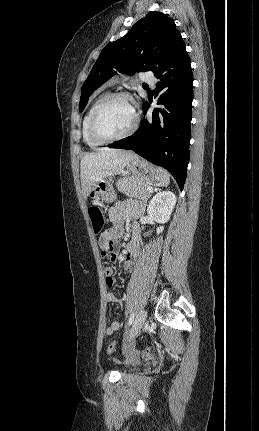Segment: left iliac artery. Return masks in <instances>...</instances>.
Here are the masks:
<instances>
[{
	"label": "left iliac artery",
	"instance_id": "44dca946",
	"mask_svg": "<svg viewBox=\"0 0 259 431\" xmlns=\"http://www.w3.org/2000/svg\"><path fill=\"white\" fill-rule=\"evenodd\" d=\"M134 321V313H131L127 325L130 326Z\"/></svg>",
	"mask_w": 259,
	"mask_h": 431
}]
</instances>
